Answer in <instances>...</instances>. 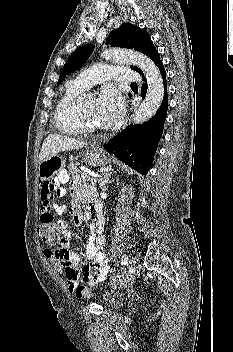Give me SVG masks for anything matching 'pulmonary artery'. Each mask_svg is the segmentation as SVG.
Listing matches in <instances>:
<instances>
[{"label": "pulmonary artery", "instance_id": "1", "mask_svg": "<svg viewBox=\"0 0 233 352\" xmlns=\"http://www.w3.org/2000/svg\"><path fill=\"white\" fill-rule=\"evenodd\" d=\"M108 80L138 82L140 76L128 67L99 64L83 70L73 81L81 88L89 89L99 82Z\"/></svg>", "mask_w": 233, "mask_h": 352}]
</instances>
